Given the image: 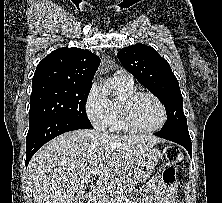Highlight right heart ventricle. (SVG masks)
<instances>
[{"label":"right heart ventricle","mask_w":222,"mask_h":203,"mask_svg":"<svg viewBox=\"0 0 222 203\" xmlns=\"http://www.w3.org/2000/svg\"><path fill=\"white\" fill-rule=\"evenodd\" d=\"M118 86L121 91V96L115 98L112 102V117L109 129L112 132H131L132 130L127 126L122 116L121 100L125 95L136 92V89L134 86H123L120 84H118Z\"/></svg>","instance_id":"e07e8e85"}]
</instances>
